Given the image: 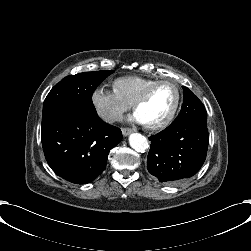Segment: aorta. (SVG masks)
Segmentation results:
<instances>
[{
    "instance_id": "obj_1",
    "label": "aorta",
    "mask_w": 251,
    "mask_h": 251,
    "mask_svg": "<svg viewBox=\"0 0 251 251\" xmlns=\"http://www.w3.org/2000/svg\"><path fill=\"white\" fill-rule=\"evenodd\" d=\"M129 144L136 151L144 153L149 147L147 139L140 133H133L129 136Z\"/></svg>"
}]
</instances>
